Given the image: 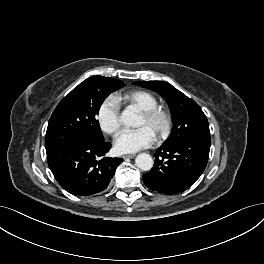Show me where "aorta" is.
Instances as JSON below:
<instances>
[{
  "instance_id": "aorta-1",
  "label": "aorta",
  "mask_w": 264,
  "mask_h": 264,
  "mask_svg": "<svg viewBox=\"0 0 264 264\" xmlns=\"http://www.w3.org/2000/svg\"><path fill=\"white\" fill-rule=\"evenodd\" d=\"M120 120L127 127H136L138 114L133 107L129 106L121 113ZM135 164L140 170L149 171L153 167L154 161L151 155L141 153L136 157Z\"/></svg>"
}]
</instances>
